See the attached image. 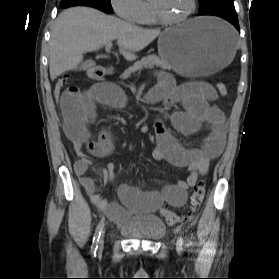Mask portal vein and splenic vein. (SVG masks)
<instances>
[{
	"instance_id": "portal-vein-and-splenic-vein-1",
	"label": "portal vein and splenic vein",
	"mask_w": 279,
	"mask_h": 279,
	"mask_svg": "<svg viewBox=\"0 0 279 279\" xmlns=\"http://www.w3.org/2000/svg\"><path fill=\"white\" fill-rule=\"evenodd\" d=\"M111 42L106 43V51H109L111 49Z\"/></svg>"
}]
</instances>
